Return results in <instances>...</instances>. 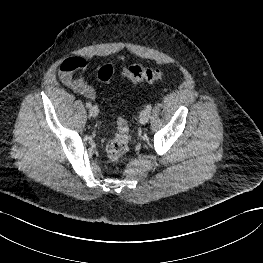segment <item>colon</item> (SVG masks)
<instances>
[{
  "mask_svg": "<svg viewBox=\"0 0 263 263\" xmlns=\"http://www.w3.org/2000/svg\"><path fill=\"white\" fill-rule=\"evenodd\" d=\"M121 73L132 82H156L164 77L163 70L159 68H148L141 65H130L123 67ZM114 75L112 65H104L97 71V78L100 82H109ZM129 144V125L127 121L119 117L117 119V129L114 136L107 142L105 151L109 160H118L128 150Z\"/></svg>",
  "mask_w": 263,
  "mask_h": 263,
  "instance_id": "colon-1",
  "label": "colon"
}]
</instances>
